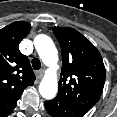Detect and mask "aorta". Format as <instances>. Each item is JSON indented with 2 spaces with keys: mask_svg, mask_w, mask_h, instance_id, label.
I'll list each match as a JSON object with an SVG mask.
<instances>
[{
  "mask_svg": "<svg viewBox=\"0 0 117 117\" xmlns=\"http://www.w3.org/2000/svg\"><path fill=\"white\" fill-rule=\"evenodd\" d=\"M34 45L43 63L49 67L39 85V93L43 98L51 100L56 96L58 91L56 74L58 68V51L52 39L45 34L37 35L34 39Z\"/></svg>",
  "mask_w": 117,
  "mask_h": 117,
  "instance_id": "1",
  "label": "aorta"
}]
</instances>
